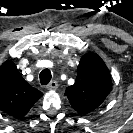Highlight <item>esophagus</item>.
Wrapping results in <instances>:
<instances>
[{
  "mask_svg": "<svg viewBox=\"0 0 133 133\" xmlns=\"http://www.w3.org/2000/svg\"><path fill=\"white\" fill-rule=\"evenodd\" d=\"M46 88L48 90H56L58 88V82L53 80L46 86Z\"/></svg>",
  "mask_w": 133,
  "mask_h": 133,
  "instance_id": "obj_1",
  "label": "esophagus"
}]
</instances>
